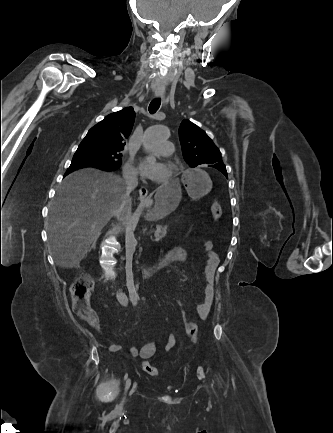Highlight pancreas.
I'll use <instances>...</instances> for the list:
<instances>
[{"instance_id": "cf45deb5", "label": "pancreas", "mask_w": 333, "mask_h": 433, "mask_svg": "<svg viewBox=\"0 0 333 433\" xmlns=\"http://www.w3.org/2000/svg\"><path fill=\"white\" fill-rule=\"evenodd\" d=\"M168 226L157 225L155 234L160 238H164L167 235Z\"/></svg>"}]
</instances>
